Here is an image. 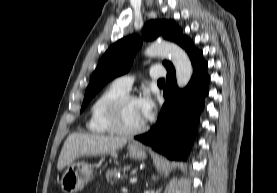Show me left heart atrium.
Wrapping results in <instances>:
<instances>
[{
    "label": "left heart atrium",
    "instance_id": "39dd6f15",
    "mask_svg": "<svg viewBox=\"0 0 277 193\" xmlns=\"http://www.w3.org/2000/svg\"><path fill=\"white\" fill-rule=\"evenodd\" d=\"M136 100L137 108L144 121L152 118L155 104L148 93H143Z\"/></svg>",
    "mask_w": 277,
    "mask_h": 193
}]
</instances>
